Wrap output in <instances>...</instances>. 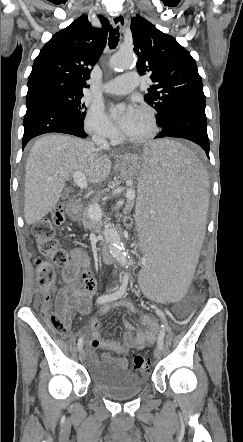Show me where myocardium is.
I'll return each instance as SVG.
<instances>
[{
	"label": "myocardium",
	"instance_id": "f54148a6",
	"mask_svg": "<svg viewBox=\"0 0 243 442\" xmlns=\"http://www.w3.org/2000/svg\"><path fill=\"white\" fill-rule=\"evenodd\" d=\"M139 110L144 111L149 115V117L151 119L152 129L149 134H147L143 137H140V138H130V137H127L126 135L123 134L122 139L125 142L130 143V144H143V143L149 142L157 135V133L159 131L158 118H157L155 110L152 107L147 106V105L141 106L139 108Z\"/></svg>",
	"mask_w": 243,
	"mask_h": 442
}]
</instances>
